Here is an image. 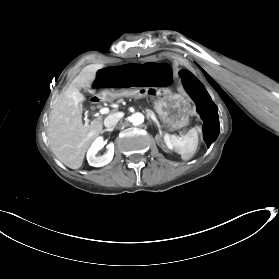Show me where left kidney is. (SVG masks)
I'll use <instances>...</instances> for the list:
<instances>
[{
    "mask_svg": "<svg viewBox=\"0 0 279 279\" xmlns=\"http://www.w3.org/2000/svg\"><path fill=\"white\" fill-rule=\"evenodd\" d=\"M163 140H164V143L166 144V146H169V145H170L169 139H168V136H167V135L163 136Z\"/></svg>",
    "mask_w": 279,
    "mask_h": 279,
    "instance_id": "left-kidney-1",
    "label": "left kidney"
}]
</instances>
